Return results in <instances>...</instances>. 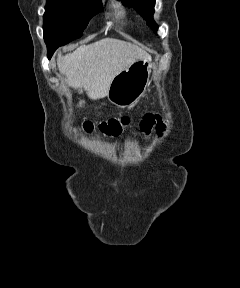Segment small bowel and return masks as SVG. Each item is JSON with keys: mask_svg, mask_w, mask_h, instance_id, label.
I'll list each match as a JSON object with an SVG mask.
<instances>
[{"mask_svg": "<svg viewBox=\"0 0 240 288\" xmlns=\"http://www.w3.org/2000/svg\"><path fill=\"white\" fill-rule=\"evenodd\" d=\"M165 128V124L161 121L159 116L154 114H146L141 121L140 129L146 135H150L152 129H155L156 132L161 135Z\"/></svg>", "mask_w": 240, "mask_h": 288, "instance_id": "1", "label": "small bowel"}]
</instances>
